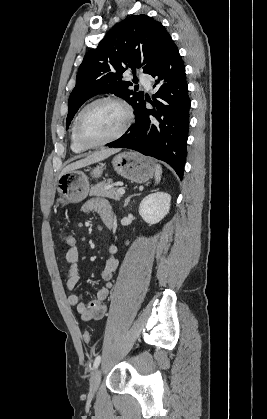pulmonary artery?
Returning a JSON list of instances; mask_svg holds the SVG:
<instances>
[{
	"instance_id": "e3ab8cb5",
	"label": "pulmonary artery",
	"mask_w": 267,
	"mask_h": 419,
	"mask_svg": "<svg viewBox=\"0 0 267 419\" xmlns=\"http://www.w3.org/2000/svg\"><path fill=\"white\" fill-rule=\"evenodd\" d=\"M139 80L142 85H144L147 89L151 87V77L147 74H140Z\"/></svg>"
}]
</instances>
